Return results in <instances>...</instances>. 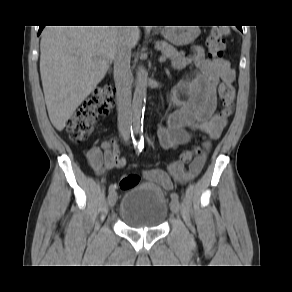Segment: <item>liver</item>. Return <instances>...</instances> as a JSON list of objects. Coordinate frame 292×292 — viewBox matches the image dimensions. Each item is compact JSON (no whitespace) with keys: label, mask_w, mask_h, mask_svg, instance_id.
Returning a JSON list of instances; mask_svg holds the SVG:
<instances>
[{"label":"liver","mask_w":292,"mask_h":292,"mask_svg":"<svg viewBox=\"0 0 292 292\" xmlns=\"http://www.w3.org/2000/svg\"><path fill=\"white\" fill-rule=\"evenodd\" d=\"M139 39L138 26L45 27L40 74L48 115L58 131L105 77L119 48L131 49Z\"/></svg>","instance_id":"liver-1"}]
</instances>
